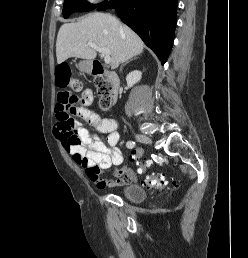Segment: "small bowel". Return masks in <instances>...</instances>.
<instances>
[{
  "label": "small bowel",
  "instance_id": "small-bowel-1",
  "mask_svg": "<svg viewBox=\"0 0 248 258\" xmlns=\"http://www.w3.org/2000/svg\"><path fill=\"white\" fill-rule=\"evenodd\" d=\"M62 94V93H61ZM94 100L93 92L84 89L78 95V105L74 106L73 113L92 125L99 133L106 134L102 140L98 136H92L79 121L73 122L74 129L78 136V142H71L57 123L55 131L65 149L72 156L73 160L85 168L97 166L101 170H108L112 166L123 163V154L117 147L119 133L117 122L112 118H102L99 114L90 109ZM94 148L95 152H89L88 148ZM143 155V154H142ZM115 180L97 179L94 182L99 189L116 188L127 186L136 180L135 173L128 167L114 171Z\"/></svg>",
  "mask_w": 248,
  "mask_h": 258
}]
</instances>
